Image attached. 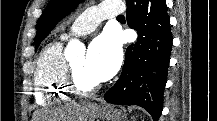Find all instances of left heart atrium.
Listing matches in <instances>:
<instances>
[{
	"instance_id": "obj_1",
	"label": "left heart atrium",
	"mask_w": 217,
	"mask_h": 121,
	"mask_svg": "<svg viewBox=\"0 0 217 121\" xmlns=\"http://www.w3.org/2000/svg\"><path fill=\"white\" fill-rule=\"evenodd\" d=\"M120 63V44L113 32L107 30L92 41L86 56V67L97 82L111 78Z\"/></svg>"
}]
</instances>
